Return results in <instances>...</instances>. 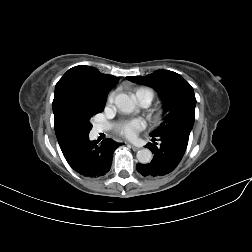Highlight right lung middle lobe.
I'll return each mask as SVG.
<instances>
[{"instance_id": "dd1d6c3e", "label": "right lung middle lobe", "mask_w": 252, "mask_h": 252, "mask_svg": "<svg viewBox=\"0 0 252 252\" xmlns=\"http://www.w3.org/2000/svg\"><path fill=\"white\" fill-rule=\"evenodd\" d=\"M106 102H87L76 97L69 98L64 105L65 124L72 135L89 134L91 118L103 112Z\"/></svg>"}]
</instances>
